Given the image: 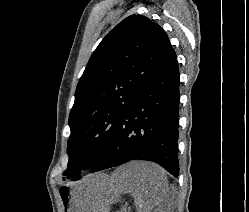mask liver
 <instances>
[{
	"label": "liver",
	"mask_w": 249,
	"mask_h": 212,
	"mask_svg": "<svg viewBox=\"0 0 249 212\" xmlns=\"http://www.w3.org/2000/svg\"><path fill=\"white\" fill-rule=\"evenodd\" d=\"M104 198L102 212H110V204L119 202L122 194H131L137 212H151L162 202L167 190L165 170L152 162H128L114 174H99Z\"/></svg>",
	"instance_id": "1"
}]
</instances>
